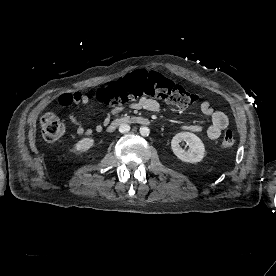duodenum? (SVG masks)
I'll list each match as a JSON object with an SVG mask.
<instances>
[{"label":"duodenum","mask_w":276,"mask_h":276,"mask_svg":"<svg viewBox=\"0 0 276 276\" xmlns=\"http://www.w3.org/2000/svg\"><path fill=\"white\" fill-rule=\"evenodd\" d=\"M149 120L140 116H133V115H127V116H121L113 119L107 129L108 131H113L116 127L123 125V124H140V125H147L149 124Z\"/></svg>","instance_id":"obj_1"}]
</instances>
